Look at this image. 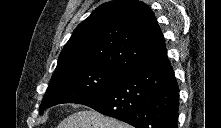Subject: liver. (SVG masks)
Listing matches in <instances>:
<instances>
[{
  "label": "liver",
  "instance_id": "obj_1",
  "mask_svg": "<svg viewBox=\"0 0 221 128\" xmlns=\"http://www.w3.org/2000/svg\"><path fill=\"white\" fill-rule=\"evenodd\" d=\"M57 128H131V126L94 110H82L69 115Z\"/></svg>",
  "mask_w": 221,
  "mask_h": 128
}]
</instances>
